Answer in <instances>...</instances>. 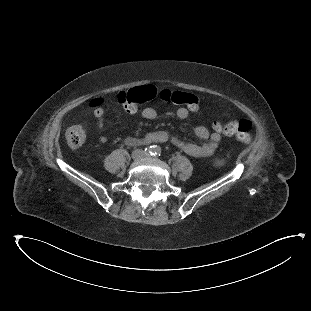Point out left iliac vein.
Instances as JSON below:
<instances>
[{"mask_svg": "<svg viewBox=\"0 0 311 311\" xmlns=\"http://www.w3.org/2000/svg\"><path fill=\"white\" fill-rule=\"evenodd\" d=\"M144 157H145V158H149L150 156H148V155H145Z\"/></svg>", "mask_w": 311, "mask_h": 311, "instance_id": "left-iliac-vein-1", "label": "left iliac vein"}]
</instances>
